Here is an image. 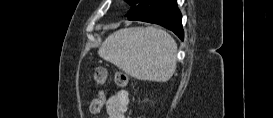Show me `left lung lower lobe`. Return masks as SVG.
I'll return each mask as SVG.
<instances>
[{"mask_svg": "<svg viewBox=\"0 0 273 118\" xmlns=\"http://www.w3.org/2000/svg\"><path fill=\"white\" fill-rule=\"evenodd\" d=\"M139 21L161 25L173 31L181 40L184 39L182 15L177 7V0H167L159 10Z\"/></svg>", "mask_w": 273, "mask_h": 118, "instance_id": "0a47b994", "label": "left lung lower lobe"}]
</instances>
